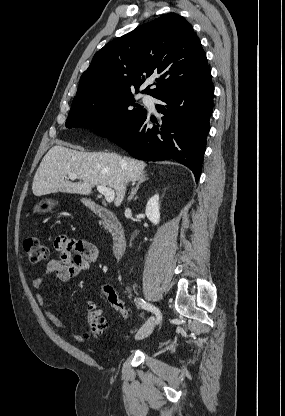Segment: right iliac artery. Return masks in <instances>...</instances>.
<instances>
[{
  "instance_id": "1",
  "label": "right iliac artery",
  "mask_w": 285,
  "mask_h": 416,
  "mask_svg": "<svg viewBox=\"0 0 285 416\" xmlns=\"http://www.w3.org/2000/svg\"><path fill=\"white\" fill-rule=\"evenodd\" d=\"M136 302H137V303H138V305H139L140 307H142L143 309L153 312V313L157 316V321H158V323L160 322V320L162 319V316H161V313H160V311H159V309H158L157 307H155V306H154V305H152V304L147 303L146 301H144V300H143V299H141V298H138V299L136 300Z\"/></svg>"
}]
</instances>
